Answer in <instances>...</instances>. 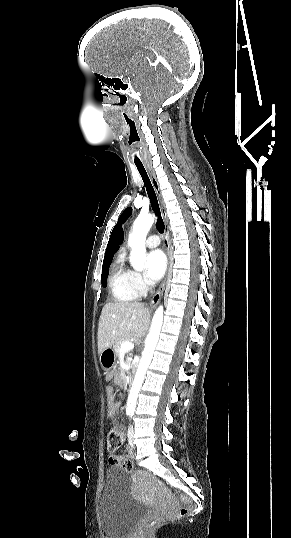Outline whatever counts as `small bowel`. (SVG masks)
Returning <instances> with one entry per match:
<instances>
[{"label": "small bowel", "instance_id": "obj_1", "mask_svg": "<svg viewBox=\"0 0 291 538\" xmlns=\"http://www.w3.org/2000/svg\"><path fill=\"white\" fill-rule=\"evenodd\" d=\"M113 380L118 386L123 385V380H122L121 377L114 376ZM106 395H107V414H108L109 418L114 419L116 417L118 407H117V404L115 402L114 388L112 386H107L106 387ZM127 451H128V454L126 456H110L109 457L110 465L111 466H117L116 461H120V460L127 459V458L131 457L132 454H131L130 447L127 448Z\"/></svg>", "mask_w": 291, "mask_h": 538}]
</instances>
